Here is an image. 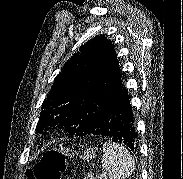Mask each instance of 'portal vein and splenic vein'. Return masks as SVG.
<instances>
[{
  "label": "portal vein and splenic vein",
  "mask_w": 183,
  "mask_h": 179,
  "mask_svg": "<svg viewBox=\"0 0 183 179\" xmlns=\"http://www.w3.org/2000/svg\"><path fill=\"white\" fill-rule=\"evenodd\" d=\"M100 176H106V172H102Z\"/></svg>",
  "instance_id": "1"
}]
</instances>
